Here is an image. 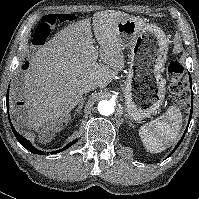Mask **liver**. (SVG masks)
<instances>
[{
	"instance_id": "liver-1",
	"label": "liver",
	"mask_w": 199,
	"mask_h": 199,
	"mask_svg": "<svg viewBox=\"0 0 199 199\" xmlns=\"http://www.w3.org/2000/svg\"><path fill=\"white\" fill-rule=\"evenodd\" d=\"M127 13L105 10L92 17L94 46L90 20L84 19L59 31L30 59L23 81V98L27 112L24 123L45 136L59 131L62 121L80 103L85 86L95 82L105 88L125 67L124 54L117 34L118 23ZM95 57H100V63ZM13 95L15 91L13 90ZM16 114V110H13ZM17 115V114H16Z\"/></svg>"
}]
</instances>
